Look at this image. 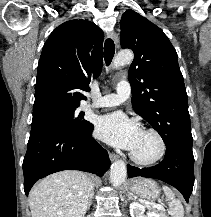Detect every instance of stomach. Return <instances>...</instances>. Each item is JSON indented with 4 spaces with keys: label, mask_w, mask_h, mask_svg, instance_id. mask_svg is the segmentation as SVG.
Segmentation results:
<instances>
[{
    "label": "stomach",
    "mask_w": 211,
    "mask_h": 217,
    "mask_svg": "<svg viewBox=\"0 0 211 217\" xmlns=\"http://www.w3.org/2000/svg\"><path fill=\"white\" fill-rule=\"evenodd\" d=\"M130 190L141 198L155 200L159 198L158 184L149 178H139L131 183Z\"/></svg>",
    "instance_id": "1"
}]
</instances>
